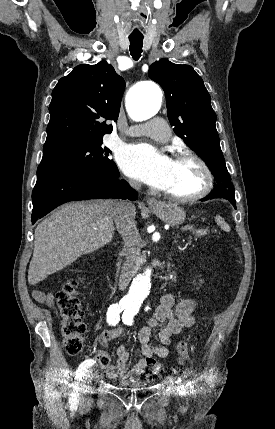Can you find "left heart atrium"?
Masks as SVG:
<instances>
[{"label": "left heart atrium", "instance_id": "obj_1", "mask_svg": "<svg viewBox=\"0 0 275 429\" xmlns=\"http://www.w3.org/2000/svg\"><path fill=\"white\" fill-rule=\"evenodd\" d=\"M118 162L126 174L158 189L165 188L172 165L169 157L147 144L126 146Z\"/></svg>", "mask_w": 275, "mask_h": 429}]
</instances>
